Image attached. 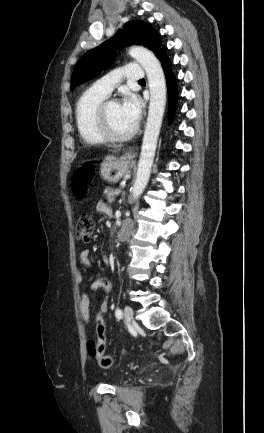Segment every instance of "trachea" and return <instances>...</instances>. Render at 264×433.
<instances>
[{"label": "trachea", "mask_w": 264, "mask_h": 433, "mask_svg": "<svg viewBox=\"0 0 264 433\" xmlns=\"http://www.w3.org/2000/svg\"><path fill=\"white\" fill-rule=\"evenodd\" d=\"M140 82H143V81H145L144 79H141V80H139Z\"/></svg>", "instance_id": "obj_1"}]
</instances>
